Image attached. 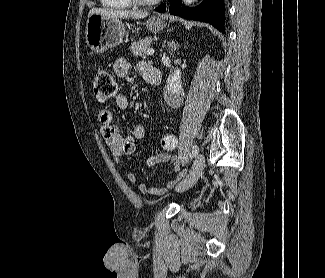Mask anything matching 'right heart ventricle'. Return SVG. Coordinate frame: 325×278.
Returning a JSON list of instances; mask_svg holds the SVG:
<instances>
[{
    "label": "right heart ventricle",
    "mask_w": 325,
    "mask_h": 278,
    "mask_svg": "<svg viewBox=\"0 0 325 278\" xmlns=\"http://www.w3.org/2000/svg\"><path fill=\"white\" fill-rule=\"evenodd\" d=\"M101 4L109 9L121 10L132 6L128 0H100Z\"/></svg>",
    "instance_id": "e07e8e85"
}]
</instances>
